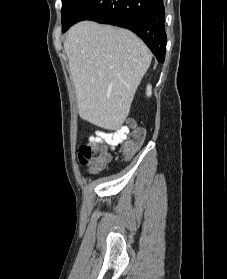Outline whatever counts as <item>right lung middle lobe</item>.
I'll use <instances>...</instances> for the list:
<instances>
[{"instance_id": "right-lung-middle-lobe-1", "label": "right lung middle lobe", "mask_w": 227, "mask_h": 279, "mask_svg": "<svg viewBox=\"0 0 227 279\" xmlns=\"http://www.w3.org/2000/svg\"><path fill=\"white\" fill-rule=\"evenodd\" d=\"M84 0H62V32H66L72 22L76 11Z\"/></svg>"}]
</instances>
